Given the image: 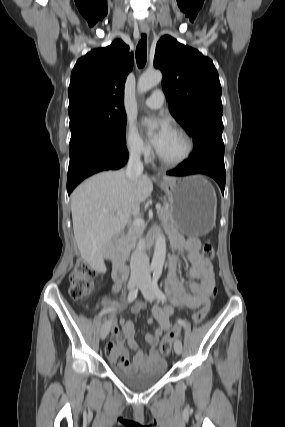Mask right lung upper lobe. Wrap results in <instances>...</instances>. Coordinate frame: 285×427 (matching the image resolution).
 Returning <instances> with one entry per match:
<instances>
[{
  "mask_svg": "<svg viewBox=\"0 0 285 427\" xmlns=\"http://www.w3.org/2000/svg\"><path fill=\"white\" fill-rule=\"evenodd\" d=\"M133 54L121 40L94 49L80 58L71 73L69 115L84 110L124 109V85Z\"/></svg>",
  "mask_w": 285,
  "mask_h": 427,
  "instance_id": "obj_1",
  "label": "right lung upper lobe"
}]
</instances>
